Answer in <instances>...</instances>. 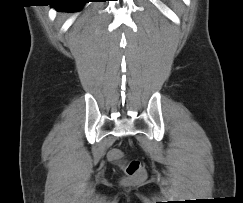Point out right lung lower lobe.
Returning <instances> with one entry per match:
<instances>
[{
    "label": "right lung lower lobe",
    "instance_id": "98d812e1",
    "mask_svg": "<svg viewBox=\"0 0 243 203\" xmlns=\"http://www.w3.org/2000/svg\"><path fill=\"white\" fill-rule=\"evenodd\" d=\"M92 0H60L55 6L58 11L76 12L79 11L85 3Z\"/></svg>",
    "mask_w": 243,
    "mask_h": 203
}]
</instances>
